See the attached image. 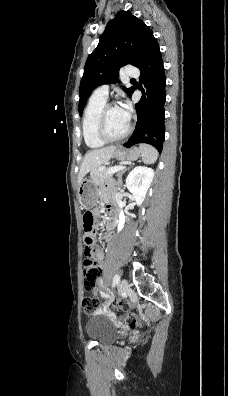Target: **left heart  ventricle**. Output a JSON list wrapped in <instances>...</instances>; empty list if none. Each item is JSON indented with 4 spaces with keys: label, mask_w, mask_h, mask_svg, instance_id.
I'll return each instance as SVG.
<instances>
[{
    "label": "left heart ventricle",
    "mask_w": 228,
    "mask_h": 396,
    "mask_svg": "<svg viewBox=\"0 0 228 396\" xmlns=\"http://www.w3.org/2000/svg\"><path fill=\"white\" fill-rule=\"evenodd\" d=\"M128 125V121L122 115L119 107L111 108L106 116V129L109 135L118 136L122 134Z\"/></svg>",
    "instance_id": "1"
}]
</instances>
